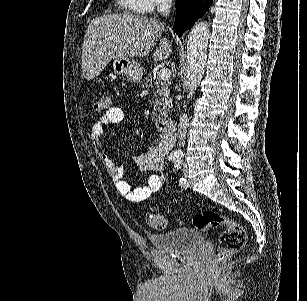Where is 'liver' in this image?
I'll return each instance as SVG.
<instances>
[{
	"label": "liver",
	"instance_id": "liver-1",
	"mask_svg": "<svg viewBox=\"0 0 307 301\" xmlns=\"http://www.w3.org/2000/svg\"><path fill=\"white\" fill-rule=\"evenodd\" d=\"M165 26L163 22L135 14H104L91 20L82 46V72L86 80L96 78L112 58L146 56L154 48ZM172 54V42L163 36L153 60Z\"/></svg>",
	"mask_w": 307,
	"mask_h": 301
}]
</instances>
